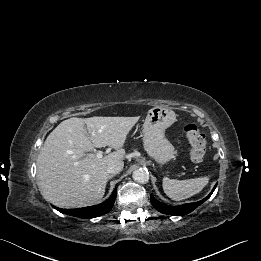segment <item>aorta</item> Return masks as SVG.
Returning <instances> with one entry per match:
<instances>
[{
	"label": "aorta",
	"mask_w": 261,
	"mask_h": 261,
	"mask_svg": "<svg viewBox=\"0 0 261 261\" xmlns=\"http://www.w3.org/2000/svg\"><path fill=\"white\" fill-rule=\"evenodd\" d=\"M133 179L138 183L145 184L149 181V173L146 169L140 168L133 172Z\"/></svg>",
	"instance_id": "aorta-1"
}]
</instances>
